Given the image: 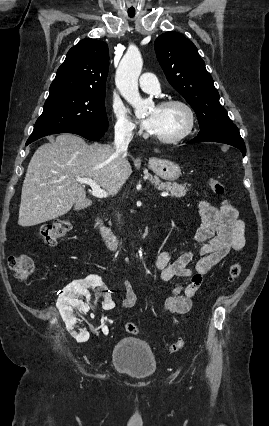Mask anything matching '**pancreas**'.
Here are the masks:
<instances>
[{
  "label": "pancreas",
  "mask_w": 269,
  "mask_h": 426,
  "mask_svg": "<svg viewBox=\"0 0 269 426\" xmlns=\"http://www.w3.org/2000/svg\"><path fill=\"white\" fill-rule=\"evenodd\" d=\"M149 180L154 186L159 190H166L167 192H170V196L172 197H183L186 195V192L188 191L186 185H181L177 183H170V182H162L158 177L156 176H149Z\"/></svg>",
  "instance_id": "obj_1"
}]
</instances>
